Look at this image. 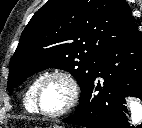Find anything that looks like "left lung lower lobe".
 Wrapping results in <instances>:
<instances>
[{"mask_svg":"<svg viewBox=\"0 0 142 128\" xmlns=\"http://www.w3.org/2000/svg\"><path fill=\"white\" fill-rule=\"evenodd\" d=\"M98 76L101 83L96 81ZM126 96L142 100V36L138 30L106 51L75 113L63 122L86 128H131L123 105Z\"/></svg>","mask_w":142,"mask_h":128,"instance_id":"obj_1","label":"left lung lower lobe"}]
</instances>
